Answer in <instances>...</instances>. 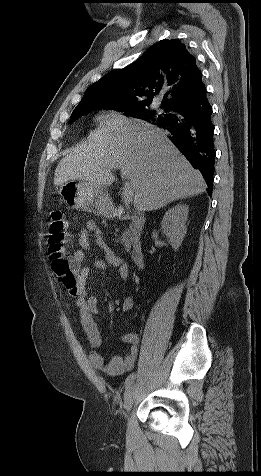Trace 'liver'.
Instances as JSON below:
<instances>
[{
    "mask_svg": "<svg viewBox=\"0 0 261 476\" xmlns=\"http://www.w3.org/2000/svg\"><path fill=\"white\" fill-rule=\"evenodd\" d=\"M114 169H119L122 179L131 185L134 208L141 212L160 209L206 189L202 174L162 129L123 116L106 121L62 158L54 185L83 180L107 187L115 180Z\"/></svg>",
    "mask_w": 261,
    "mask_h": 476,
    "instance_id": "1",
    "label": "liver"
}]
</instances>
